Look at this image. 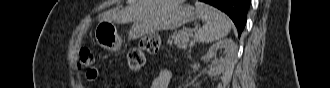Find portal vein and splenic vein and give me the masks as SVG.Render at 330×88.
Here are the masks:
<instances>
[{
    "mask_svg": "<svg viewBox=\"0 0 330 88\" xmlns=\"http://www.w3.org/2000/svg\"><path fill=\"white\" fill-rule=\"evenodd\" d=\"M189 35H190V36H193V33H192V32H189Z\"/></svg>",
    "mask_w": 330,
    "mask_h": 88,
    "instance_id": "1",
    "label": "portal vein and splenic vein"
}]
</instances>
